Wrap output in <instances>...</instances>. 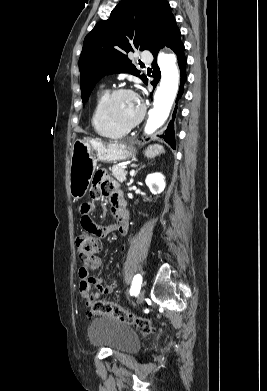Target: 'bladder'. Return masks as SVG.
<instances>
[{"instance_id":"bladder-1","label":"bladder","mask_w":267,"mask_h":391,"mask_svg":"<svg viewBox=\"0 0 267 391\" xmlns=\"http://www.w3.org/2000/svg\"><path fill=\"white\" fill-rule=\"evenodd\" d=\"M88 339L93 346L107 347L116 352H134L140 345L139 337L131 327L108 316L91 321Z\"/></svg>"}]
</instances>
